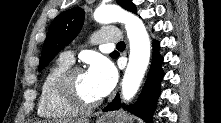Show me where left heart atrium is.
<instances>
[{
	"mask_svg": "<svg viewBox=\"0 0 221 123\" xmlns=\"http://www.w3.org/2000/svg\"><path fill=\"white\" fill-rule=\"evenodd\" d=\"M87 75L101 97L106 96L113 89L117 80L113 63L103 56L91 59Z\"/></svg>",
	"mask_w": 221,
	"mask_h": 123,
	"instance_id": "39dd6f15",
	"label": "left heart atrium"
}]
</instances>
